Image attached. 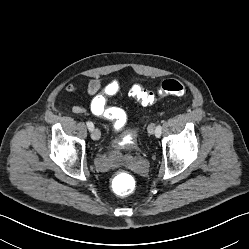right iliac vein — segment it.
Masks as SVG:
<instances>
[{
  "label": "right iliac vein",
  "mask_w": 249,
  "mask_h": 249,
  "mask_svg": "<svg viewBox=\"0 0 249 249\" xmlns=\"http://www.w3.org/2000/svg\"><path fill=\"white\" fill-rule=\"evenodd\" d=\"M91 138L93 140H99L101 138V132L99 129L95 128L91 131Z\"/></svg>",
  "instance_id": "obj_1"
}]
</instances>
